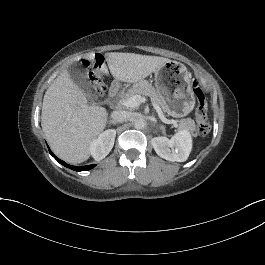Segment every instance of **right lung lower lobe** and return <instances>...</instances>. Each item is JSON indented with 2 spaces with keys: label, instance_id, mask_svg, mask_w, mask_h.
<instances>
[{
  "label": "right lung lower lobe",
  "instance_id": "obj_1",
  "mask_svg": "<svg viewBox=\"0 0 265 265\" xmlns=\"http://www.w3.org/2000/svg\"><path fill=\"white\" fill-rule=\"evenodd\" d=\"M50 154L62 165H64L65 167L67 168H70L72 170H75V171H86V170H90L92 168H94L96 165L95 164H92V165H89V166H82V167H76V166H71V165H68L67 163H65L64 161L58 159L53 153L51 150H49Z\"/></svg>",
  "mask_w": 265,
  "mask_h": 265
}]
</instances>
